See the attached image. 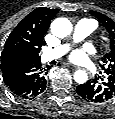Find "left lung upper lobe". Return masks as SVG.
Returning <instances> with one entry per match:
<instances>
[{"mask_svg": "<svg viewBox=\"0 0 115 119\" xmlns=\"http://www.w3.org/2000/svg\"><path fill=\"white\" fill-rule=\"evenodd\" d=\"M90 13L101 23L107 37V51L103 55L104 66L102 65V68L107 77L115 78V22L99 12L91 11Z\"/></svg>", "mask_w": 115, "mask_h": 119, "instance_id": "left-lung-upper-lobe-1", "label": "left lung upper lobe"}]
</instances>
